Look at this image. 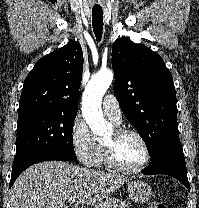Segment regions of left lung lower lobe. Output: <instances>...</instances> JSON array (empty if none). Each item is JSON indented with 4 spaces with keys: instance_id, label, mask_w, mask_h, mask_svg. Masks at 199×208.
<instances>
[{
    "instance_id": "left-lung-lower-lobe-1",
    "label": "left lung lower lobe",
    "mask_w": 199,
    "mask_h": 208,
    "mask_svg": "<svg viewBox=\"0 0 199 208\" xmlns=\"http://www.w3.org/2000/svg\"><path fill=\"white\" fill-rule=\"evenodd\" d=\"M144 173L146 175H170L189 189L186 163L179 138L165 144L157 155L151 159V163L144 169Z\"/></svg>"
}]
</instances>
